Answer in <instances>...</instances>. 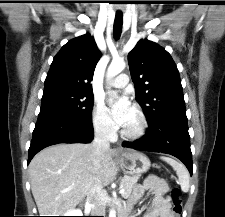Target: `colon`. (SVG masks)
I'll use <instances>...</instances> for the list:
<instances>
[{
  "label": "colon",
  "mask_w": 225,
  "mask_h": 217,
  "mask_svg": "<svg viewBox=\"0 0 225 217\" xmlns=\"http://www.w3.org/2000/svg\"><path fill=\"white\" fill-rule=\"evenodd\" d=\"M169 202H170L173 213L175 214L176 217H179L182 212V201L180 198L179 189L174 188L172 190V194H171Z\"/></svg>",
  "instance_id": "colon-1"
}]
</instances>
